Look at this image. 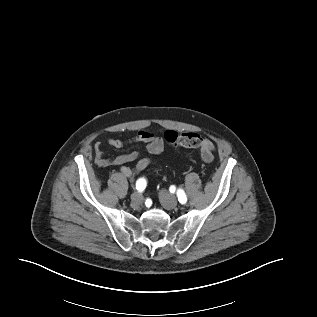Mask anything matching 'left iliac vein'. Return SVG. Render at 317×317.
<instances>
[{
	"instance_id": "left-iliac-vein-1",
	"label": "left iliac vein",
	"mask_w": 317,
	"mask_h": 317,
	"mask_svg": "<svg viewBox=\"0 0 317 317\" xmlns=\"http://www.w3.org/2000/svg\"><path fill=\"white\" fill-rule=\"evenodd\" d=\"M159 199L162 206L166 209H173L177 206V203H178L176 197L170 194L165 189L160 190Z\"/></svg>"
}]
</instances>
